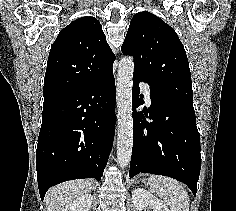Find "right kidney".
Wrapping results in <instances>:
<instances>
[{
  "label": "right kidney",
  "instance_id": "ca27d5eb",
  "mask_svg": "<svg viewBox=\"0 0 236 211\" xmlns=\"http://www.w3.org/2000/svg\"><path fill=\"white\" fill-rule=\"evenodd\" d=\"M93 196L85 194L65 206L62 211H89L92 205Z\"/></svg>",
  "mask_w": 236,
  "mask_h": 211
}]
</instances>
